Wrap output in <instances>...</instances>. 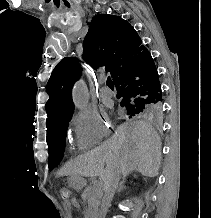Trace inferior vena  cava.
I'll list each match as a JSON object with an SVG mask.
<instances>
[{"instance_id":"inferior-vena-cava-1","label":"inferior vena cava","mask_w":211,"mask_h":218,"mask_svg":"<svg viewBox=\"0 0 211 218\" xmlns=\"http://www.w3.org/2000/svg\"><path fill=\"white\" fill-rule=\"evenodd\" d=\"M120 180V172L117 170V172H111V174H106L105 180H104V196L102 200V208L104 212H107V208L111 206V200L118 188Z\"/></svg>"}]
</instances>
